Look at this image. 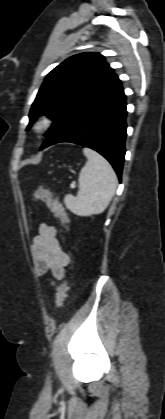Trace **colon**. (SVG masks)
Returning a JSON list of instances; mask_svg holds the SVG:
<instances>
[{"label": "colon", "instance_id": "5ec220e1", "mask_svg": "<svg viewBox=\"0 0 165 419\" xmlns=\"http://www.w3.org/2000/svg\"><path fill=\"white\" fill-rule=\"evenodd\" d=\"M33 197L34 200L43 202L63 225L67 224L68 216L61 203L55 198L54 194L50 190L43 187H38L34 190ZM68 289L69 281L67 278H65L57 288L56 305L58 308L63 306L66 300Z\"/></svg>", "mask_w": 165, "mask_h": 419}]
</instances>
